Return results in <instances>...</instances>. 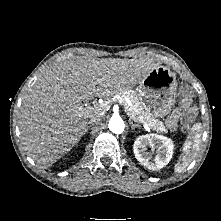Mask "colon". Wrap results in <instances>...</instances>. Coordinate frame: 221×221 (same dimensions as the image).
<instances>
[{"mask_svg":"<svg viewBox=\"0 0 221 221\" xmlns=\"http://www.w3.org/2000/svg\"><path fill=\"white\" fill-rule=\"evenodd\" d=\"M179 89L183 96V99L185 100L191 99L192 96L191 90L189 89L188 85L182 80L179 81ZM194 116H195V111L193 108H188L184 110L183 118L181 121V128L184 132H188L190 130Z\"/></svg>","mask_w":221,"mask_h":221,"instance_id":"obj_1","label":"colon"}]
</instances>
